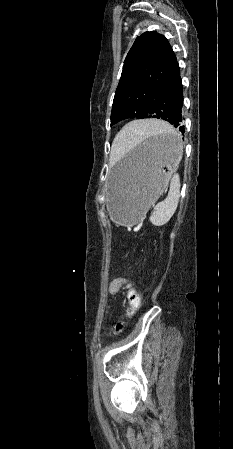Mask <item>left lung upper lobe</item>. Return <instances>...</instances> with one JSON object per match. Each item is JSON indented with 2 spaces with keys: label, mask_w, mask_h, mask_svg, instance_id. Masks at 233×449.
Listing matches in <instances>:
<instances>
[{
  "label": "left lung upper lobe",
  "mask_w": 233,
  "mask_h": 449,
  "mask_svg": "<svg viewBox=\"0 0 233 449\" xmlns=\"http://www.w3.org/2000/svg\"><path fill=\"white\" fill-rule=\"evenodd\" d=\"M168 40L145 32L133 43L115 92L111 125L125 118H144L154 95L178 68Z\"/></svg>",
  "instance_id": "obj_1"
}]
</instances>
